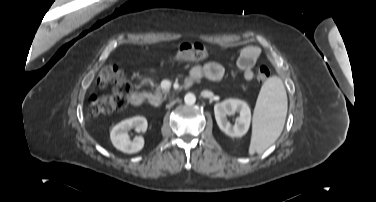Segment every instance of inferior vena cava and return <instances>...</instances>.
Masks as SVG:
<instances>
[{
    "label": "inferior vena cava",
    "instance_id": "1",
    "mask_svg": "<svg viewBox=\"0 0 376 202\" xmlns=\"http://www.w3.org/2000/svg\"><path fill=\"white\" fill-rule=\"evenodd\" d=\"M171 105H173V103H171V104L167 105V107H170Z\"/></svg>",
    "mask_w": 376,
    "mask_h": 202
}]
</instances>
